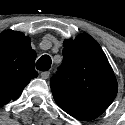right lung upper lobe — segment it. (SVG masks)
<instances>
[{
    "label": "right lung upper lobe",
    "mask_w": 125,
    "mask_h": 125,
    "mask_svg": "<svg viewBox=\"0 0 125 125\" xmlns=\"http://www.w3.org/2000/svg\"><path fill=\"white\" fill-rule=\"evenodd\" d=\"M30 38L7 30L0 34V106L17 99L38 73L34 69L36 52Z\"/></svg>",
    "instance_id": "right-lung-upper-lobe-1"
}]
</instances>
